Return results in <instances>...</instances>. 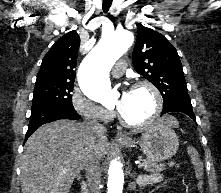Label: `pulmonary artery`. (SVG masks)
<instances>
[{"mask_svg":"<svg viewBox=\"0 0 221 193\" xmlns=\"http://www.w3.org/2000/svg\"><path fill=\"white\" fill-rule=\"evenodd\" d=\"M126 68V62L125 60H119L116 65L112 69V75L115 77H120L123 75L124 70Z\"/></svg>","mask_w":221,"mask_h":193,"instance_id":"1","label":"pulmonary artery"}]
</instances>
